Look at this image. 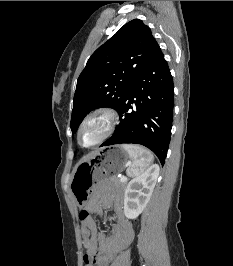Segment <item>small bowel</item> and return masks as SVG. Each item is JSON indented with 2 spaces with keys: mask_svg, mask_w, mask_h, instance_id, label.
Returning a JSON list of instances; mask_svg holds the SVG:
<instances>
[{
  "mask_svg": "<svg viewBox=\"0 0 233 266\" xmlns=\"http://www.w3.org/2000/svg\"><path fill=\"white\" fill-rule=\"evenodd\" d=\"M110 206L113 207L116 224L109 235L97 230L92 217L82 224L85 266H109L110 261L133 239L132 225L123 213V199L120 195L100 189L89 201L86 210L102 216L104 209Z\"/></svg>",
  "mask_w": 233,
  "mask_h": 266,
  "instance_id": "small-bowel-1",
  "label": "small bowel"
}]
</instances>
